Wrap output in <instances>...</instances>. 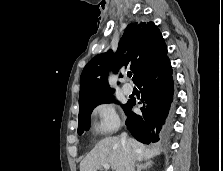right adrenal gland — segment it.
Returning a JSON list of instances; mask_svg holds the SVG:
<instances>
[{"label":"right adrenal gland","instance_id":"right-adrenal-gland-1","mask_svg":"<svg viewBox=\"0 0 223 171\" xmlns=\"http://www.w3.org/2000/svg\"><path fill=\"white\" fill-rule=\"evenodd\" d=\"M153 165V162L151 160H147L144 163H138L137 164V171H142L147 168H150Z\"/></svg>","mask_w":223,"mask_h":171}]
</instances>
